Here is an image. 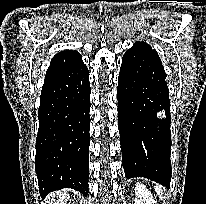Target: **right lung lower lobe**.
<instances>
[{
    "mask_svg": "<svg viewBox=\"0 0 206 204\" xmlns=\"http://www.w3.org/2000/svg\"><path fill=\"white\" fill-rule=\"evenodd\" d=\"M90 92L82 59L45 76L35 158L42 198L62 188L88 194Z\"/></svg>",
    "mask_w": 206,
    "mask_h": 204,
    "instance_id": "obj_1",
    "label": "right lung lower lobe"
}]
</instances>
